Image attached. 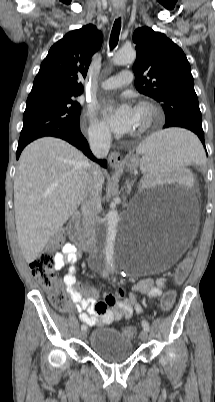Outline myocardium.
I'll return each mask as SVG.
<instances>
[{"label":"myocardium","mask_w":215,"mask_h":402,"mask_svg":"<svg viewBox=\"0 0 215 402\" xmlns=\"http://www.w3.org/2000/svg\"><path fill=\"white\" fill-rule=\"evenodd\" d=\"M136 109L142 110L146 113V121L144 125L138 131L132 133L133 137H140L152 128L159 115V109L153 102L148 100L139 101L136 104Z\"/></svg>","instance_id":"f54148a6"}]
</instances>
